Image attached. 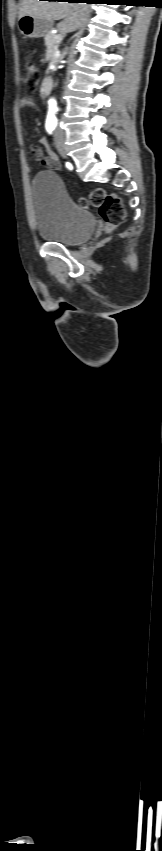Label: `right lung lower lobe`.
Masks as SVG:
<instances>
[{
  "mask_svg": "<svg viewBox=\"0 0 162 851\" xmlns=\"http://www.w3.org/2000/svg\"><path fill=\"white\" fill-rule=\"evenodd\" d=\"M49 1H60V0H49ZM66 1H68V2H78V3H79V2H86V3H88V4H91V3H99V2H100V1H102V0H66Z\"/></svg>",
  "mask_w": 162,
  "mask_h": 851,
  "instance_id": "1",
  "label": "right lung lower lobe"
}]
</instances>
